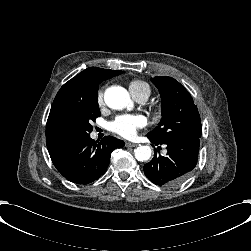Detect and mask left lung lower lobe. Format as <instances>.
<instances>
[{"label": "left lung lower lobe", "instance_id": "0a47b994", "mask_svg": "<svg viewBox=\"0 0 251 251\" xmlns=\"http://www.w3.org/2000/svg\"><path fill=\"white\" fill-rule=\"evenodd\" d=\"M147 137L155 145L166 144V156L155 152L154 158L144 165L146 177L156 185L172 187L183 182L195 168L198 159V137H187L167 142L156 141Z\"/></svg>", "mask_w": 251, "mask_h": 251}]
</instances>
